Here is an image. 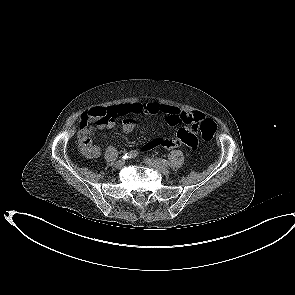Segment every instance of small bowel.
<instances>
[{
	"label": "small bowel",
	"instance_id": "c3829d8e",
	"mask_svg": "<svg viewBox=\"0 0 295 295\" xmlns=\"http://www.w3.org/2000/svg\"><path fill=\"white\" fill-rule=\"evenodd\" d=\"M108 110V118L105 121L99 122L97 127L99 129H110L115 125V118L118 116L124 117L122 123V130L125 133H130L136 126V120L133 115L143 114L146 116H160L168 126H177L179 124H195L204 118V114L199 111H186L177 107L159 103L157 101H150L147 103H124L115 106L103 107ZM152 143L156 145L153 146ZM181 145H186L190 148H195L197 139L194 131L188 128H181L177 131L174 137L170 138H156L144 147V151L153 149L156 146H162L167 149H174ZM83 154L88 158H97L100 155V149L92 144H89L86 149H82Z\"/></svg>",
	"mask_w": 295,
	"mask_h": 295
}]
</instances>
